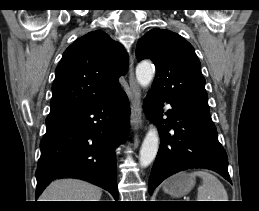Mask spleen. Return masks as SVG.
Returning <instances> with one entry per match:
<instances>
[{"mask_svg": "<svg viewBox=\"0 0 259 211\" xmlns=\"http://www.w3.org/2000/svg\"><path fill=\"white\" fill-rule=\"evenodd\" d=\"M190 176H199L203 184L198 187L197 201H228L227 191L220 180L205 170H197Z\"/></svg>", "mask_w": 259, "mask_h": 211, "instance_id": "1", "label": "spleen"}]
</instances>
